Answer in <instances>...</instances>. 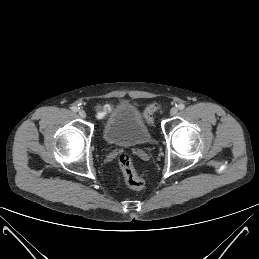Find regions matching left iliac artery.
<instances>
[{"mask_svg":"<svg viewBox=\"0 0 259 259\" xmlns=\"http://www.w3.org/2000/svg\"><path fill=\"white\" fill-rule=\"evenodd\" d=\"M177 107L179 110H183L185 108V105L183 103H180Z\"/></svg>","mask_w":259,"mask_h":259,"instance_id":"1","label":"left iliac artery"}]
</instances>
